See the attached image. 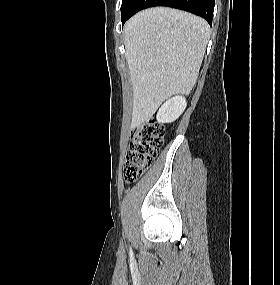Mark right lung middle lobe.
<instances>
[{
  "mask_svg": "<svg viewBox=\"0 0 280 285\" xmlns=\"http://www.w3.org/2000/svg\"><path fill=\"white\" fill-rule=\"evenodd\" d=\"M137 2L138 0H123L121 6V13H122L121 19L130 15V13L134 10Z\"/></svg>",
  "mask_w": 280,
  "mask_h": 285,
  "instance_id": "1",
  "label": "right lung middle lobe"
}]
</instances>
